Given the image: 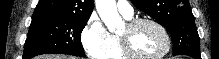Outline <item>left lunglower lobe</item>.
<instances>
[{
    "label": "left lung lower lobe",
    "instance_id": "1",
    "mask_svg": "<svg viewBox=\"0 0 219 59\" xmlns=\"http://www.w3.org/2000/svg\"><path fill=\"white\" fill-rule=\"evenodd\" d=\"M186 55L191 56L194 59H201L200 53L199 54H192V53H190V54H186Z\"/></svg>",
    "mask_w": 219,
    "mask_h": 59
}]
</instances>
